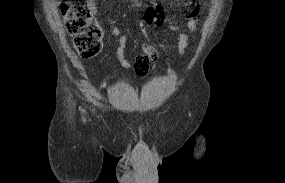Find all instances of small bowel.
Segmentation results:
<instances>
[{
	"instance_id": "small-bowel-1",
	"label": "small bowel",
	"mask_w": 285,
	"mask_h": 183,
	"mask_svg": "<svg viewBox=\"0 0 285 183\" xmlns=\"http://www.w3.org/2000/svg\"><path fill=\"white\" fill-rule=\"evenodd\" d=\"M88 9L92 14L97 13V8L94 0L88 1ZM198 8L194 2H191V7L188 8L186 13V28L190 35H192L198 26ZM144 21L149 26L159 27L164 21V13L161 10L159 4L152 5L144 15ZM170 28L177 32V52L183 55L188 47L189 34L182 31L177 25H172ZM112 32L114 35L118 36V46L116 48V57L120 65L124 68H130L131 63L128 60L125 47L128 38L125 34H122L121 30L117 26L112 27ZM158 59V52L156 48L149 44L143 43L141 45V54L137 57L135 65L138 63H144L149 68Z\"/></svg>"
}]
</instances>
